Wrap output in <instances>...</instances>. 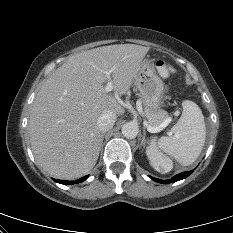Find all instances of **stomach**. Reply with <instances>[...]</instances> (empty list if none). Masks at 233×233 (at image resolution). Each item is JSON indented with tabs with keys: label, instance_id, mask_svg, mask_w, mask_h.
Masks as SVG:
<instances>
[{
	"label": "stomach",
	"instance_id": "stomach-1",
	"mask_svg": "<svg viewBox=\"0 0 233 233\" xmlns=\"http://www.w3.org/2000/svg\"><path fill=\"white\" fill-rule=\"evenodd\" d=\"M135 84L146 108L152 112L160 110L163 104L164 82L156 74L152 60L149 57L143 60Z\"/></svg>",
	"mask_w": 233,
	"mask_h": 233
}]
</instances>
